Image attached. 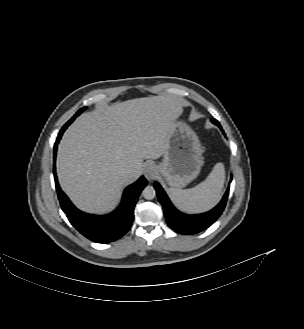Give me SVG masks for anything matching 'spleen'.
Returning <instances> with one entry per match:
<instances>
[{
	"instance_id": "obj_1",
	"label": "spleen",
	"mask_w": 304,
	"mask_h": 329,
	"mask_svg": "<svg viewBox=\"0 0 304 329\" xmlns=\"http://www.w3.org/2000/svg\"><path fill=\"white\" fill-rule=\"evenodd\" d=\"M225 182V169L217 163L208 177L190 189L169 188V196L174 205L186 213L205 212L214 207L221 197Z\"/></svg>"
}]
</instances>
